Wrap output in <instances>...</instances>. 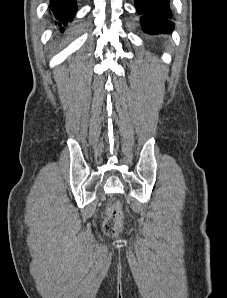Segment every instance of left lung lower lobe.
Listing matches in <instances>:
<instances>
[{
  "mask_svg": "<svg viewBox=\"0 0 227 298\" xmlns=\"http://www.w3.org/2000/svg\"><path fill=\"white\" fill-rule=\"evenodd\" d=\"M138 14H142L143 31L149 34L171 33L174 23L169 0H135Z\"/></svg>",
  "mask_w": 227,
  "mask_h": 298,
  "instance_id": "0a47b994",
  "label": "left lung lower lobe"
}]
</instances>
